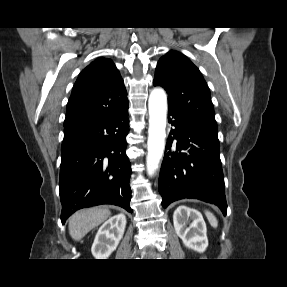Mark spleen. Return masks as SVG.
I'll use <instances>...</instances> for the list:
<instances>
[{"mask_svg":"<svg viewBox=\"0 0 287 287\" xmlns=\"http://www.w3.org/2000/svg\"><path fill=\"white\" fill-rule=\"evenodd\" d=\"M205 214H206V216L208 218V221L211 224V226L214 227V228H217L218 221H217L216 217L214 216V214H212L209 211H206Z\"/></svg>","mask_w":287,"mask_h":287,"instance_id":"1","label":"spleen"}]
</instances>
